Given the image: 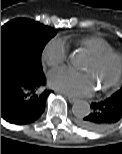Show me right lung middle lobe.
Returning a JSON list of instances; mask_svg holds the SVG:
<instances>
[{
	"label": "right lung middle lobe",
	"instance_id": "right-lung-middle-lobe-1",
	"mask_svg": "<svg viewBox=\"0 0 122 154\" xmlns=\"http://www.w3.org/2000/svg\"><path fill=\"white\" fill-rule=\"evenodd\" d=\"M56 31L31 19H14L1 27V50L22 54L42 71L41 55Z\"/></svg>",
	"mask_w": 122,
	"mask_h": 154
}]
</instances>
